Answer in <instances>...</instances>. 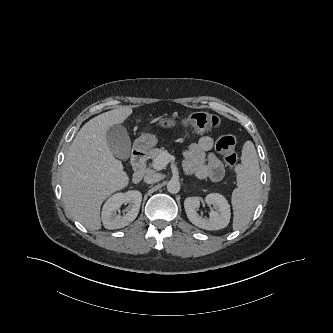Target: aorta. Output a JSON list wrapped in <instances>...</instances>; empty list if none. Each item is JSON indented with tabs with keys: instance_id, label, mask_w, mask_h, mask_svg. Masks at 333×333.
Wrapping results in <instances>:
<instances>
[{
	"instance_id": "obj_1",
	"label": "aorta",
	"mask_w": 333,
	"mask_h": 333,
	"mask_svg": "<svg viewBox=\"0 0 333 333\" xmlns=\"http://www.w3.org/2000/svg\"><path fill=\"white\" fill-rule=\"evenodd\" d=\"M167 190L168 192L172 193V194H176L180 191V183L178 180L175 179H171L168 183H167Z\"/></svg>"
}]
</instances>
